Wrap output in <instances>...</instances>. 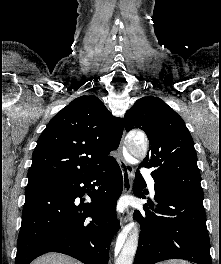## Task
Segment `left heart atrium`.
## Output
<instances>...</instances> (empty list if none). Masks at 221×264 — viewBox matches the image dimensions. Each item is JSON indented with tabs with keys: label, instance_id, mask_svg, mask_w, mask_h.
Segmentation results:
<instances>
[{
	"label": "left heart atrium",
	"instance_id": "left-heart-atrium-1",
	"mask_svg": "<svg viewBox=\"0 0 221 264\" xmlns=\"http://www.w3.org/2000/svg\"><path fill=\"white\" fill-rule=\"evenodd\" d=\"M122 206H123V203H120V204H119V208H122Z\"/></svg>",
	"mask_w": 221,
	"mask_h": 264
}]
</instances>
